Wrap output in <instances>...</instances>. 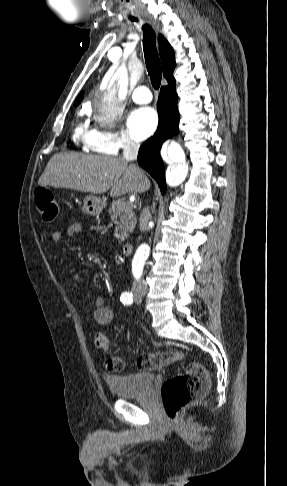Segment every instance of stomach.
I'll return each mask as SVG.
<instances>
[{
	"label": "stomach",
	"mask_w": 287,
	"mask_h": 486,
	"mask_svg": "<svg viewBox=\"0 0 287 486\" xmlns=\"http://www.w3.org/2000/svg\"><path fill=\"white\" fill-rule=\"evenodd\" d=\"M105 206V201L96 195H87L83 200V210L90 215L99 214Z\"/></svg>",
	"instance_id": "0dacf381"
}]
</instances>
